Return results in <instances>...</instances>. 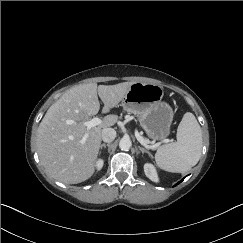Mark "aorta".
<instances>
[{
  "label": "aorta",
  "mask_w": 243,
  "mask_h": 243,
  "mask_svg": "<svg viewBox=\"0 0 243 243\" xmlns=\"http://www.w3.org/2000/svg\"><path fill=\"white\" fill-rule=\"evenodd\" d=\"M132 146L130 138L123 137L119 142V148L123 151H127Z\"/></svg>",
  "instance_id": "762f6f07"
}]
</instances>
